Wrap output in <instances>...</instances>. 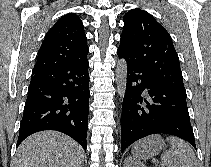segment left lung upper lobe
I'll return each mask as SVG.
<instances>
[{
	"mask_svg": "<svg viewBox=\"0 0 211 167\" xmlns=\"http://www.w3.org/2000/svg\"><path fill=\"white\" fill-rule=\"evenodd\" d=\"M123 21L119 48L125 58L159 82L186 94L179 57L166 29L139 8L128 11Z\"/></svg>",
	"mask_w": 211,
	"mask_h": 167,
	"instance_id": "obj_1",
	"label": "left lung upper lobe"
}]
</instances>
